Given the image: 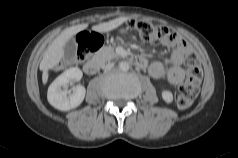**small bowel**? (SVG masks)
I'll use <instances>...</instances> for the list:
<instances>
[{"label": "small bowel", "instance_id": "obj_1", "mask_svg": "<svg viewBox=\"0 0 238 158\" xmlns=\"http://www.w3.org/2000/svg\"><path fill=\"white\" fill-rule=\"evenodd\" d=\"M162 43L171 49V66L166 68L163 62L155 61L148 66V72L155 79L165 76L171 84L179 85L185 80V71L182 64L185 56L191 51V47L182 37L176 34Z\"/></svg>", "mask_w": 238, "mask_h": 158}]
</instances>
